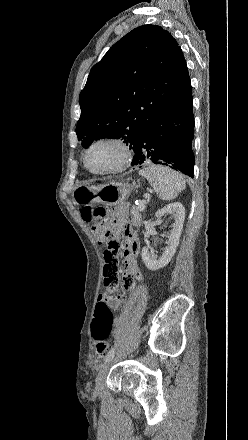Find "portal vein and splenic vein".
Instances as JSON below:
<instances>
[{"mask_svg":"<svg viewBox=\"0 0 248 440\" xmlns=\"http://www.w3.org/2000/svg\"><path fill=\"white\" fill-rule=\"evenodd\" d=\"M144 208H145V202H142V203L139 205L138 209H139V210H143Z\"/></svg>","mask_w":248,"mask_h":440,"instance_id":"18ae733b","label":"portal vein and splenic vein"}]
</instances>
